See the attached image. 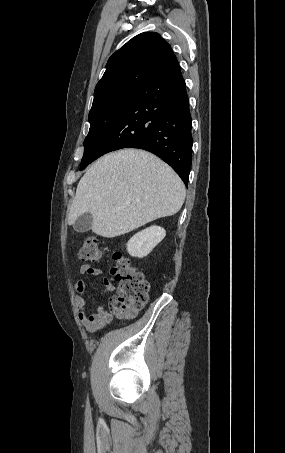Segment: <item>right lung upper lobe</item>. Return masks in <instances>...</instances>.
I'll list each match as a JSON object with an SVG mask.
<instances>
[{
    "label": "right lung upper lobe",
    "mask_w": 285,
    "mask_h": 453,
    "mask_svg": "<svg viewBox=\"0 0 285 453\" xmlns=\"http://www.w3.org/2000/svg\"><path fill=\"white\" fill-rule=\"evenodd\" d=\"M177 64L173 50L160 34L144 32L135 36L109 58L96 85L92 107L138 91L153 76Z\"/></svg>",
    "instance_id": "cb5924a9"
}]
</instances>
